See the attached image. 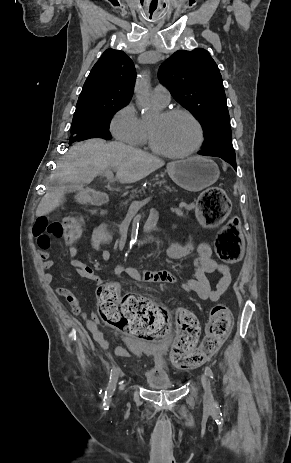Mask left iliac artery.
<instances>
[{"label":"left iliac artery","instance_id":"1","mask_svg":"<svg viewBox=\"0 0 291 463\" xmlns=\"http://www.w3.org/2000/svg\"><path fill=\"white\" fill-rule=\"evenodd\" d=\"M205 372L208 374V376H210V378L213 379V372L209 366L205 367Z\"/></svg>","mask_w":291,"mask_h":463}]
</instances>
